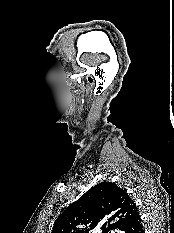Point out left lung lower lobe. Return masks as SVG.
I'll return each mask as SVG.
<instances>
[{"mask_svg":"<svg viewBox=\"0 0 174 233\" xmlns=\"http://www.w3.org/2000/svg\"><path fill=\"white\" fill-rule=\"evenodd\" d=\"M119 233H144L139 213L122 225L119 229Z\"/></svg>","mask_w":174,"mask_h":233,"instance_id":"1","label":"left lung lower lobe"}]
</instances>
